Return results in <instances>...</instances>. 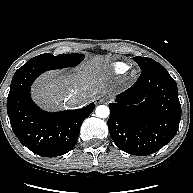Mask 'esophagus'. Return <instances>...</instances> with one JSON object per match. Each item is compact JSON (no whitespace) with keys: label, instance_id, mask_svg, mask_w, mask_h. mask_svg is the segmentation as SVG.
<instances>
[{"label":"esophagus","instance_id":"1","mask_svg":"<svg viewBox=\"0 0 193 193\" xmlns=\"http://www.w3.org/2000/svg\"><path fill=\"white\" fill-rule=\"evenodd\" d=\"M104 98L102 96H97L94 101H95V104H100L102 102H104Z\"/></svg>","mask_w":193,"mask_h":193}]
</instances>
